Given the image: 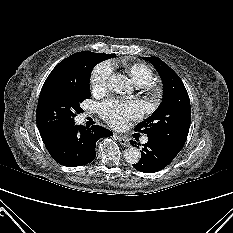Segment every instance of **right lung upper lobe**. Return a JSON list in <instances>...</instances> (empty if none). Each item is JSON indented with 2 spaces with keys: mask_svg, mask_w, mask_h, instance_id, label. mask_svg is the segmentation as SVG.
I'll return each mask as SVG.
<instances>
[{
  "mask_svg": "<svg viewBox=\"0 0 233 233\" xmlns=\"http://www.w3.org/2000/svg\"><path fill=\"white\" fill-rule=\"evenodd\" d=\"M78 56L77 53L67 57L66 59H64L63 61H61L57 67H64V66H70L71 64H73V62L75 61L76 57Z\"/></svg>",
  "mask_w": 233,
  "mask_h": 233,
  "instance_id": "1",
  "label": "right lung upper lobe"
}]
</instances>
